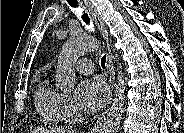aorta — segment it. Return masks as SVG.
<instances>
[{
    "mask_svg": "<svg viewBox=\"0 0 184 133\" xmlns=\"http://www.w3.org/2000/svg\"><path fill=\"white\" fill-rule=\"evenodd\" d=\"M101 48L98 39L87 34L72 35L63 45L56 68V78L60 89L72 91L76 83L74 65L88 52ZM117 82L115 96L100 133H118L125 104V73L121 64L117 63Z\"/></svg>",
    "mask_w": 184,
    "mask_h": 133,
    "instance_id": "obj_1",
    "label": "aorta"
}]
</instances>
